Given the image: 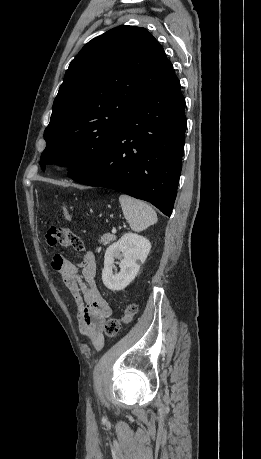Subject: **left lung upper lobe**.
Segmentation results:
<instances>
[{
	"label": "left lung upper lobe",
	"instance_id": "5c2ea615",
	"mask_svg": "<svg viewBox=\"0 0 261 459\" xmlns=\"http://www.w3.org/2000/svg\"><path fill=\"white\" fill-rule=\"evenodd\" d=\"M173 66L145 29L123 25L88 42L71 61L45 129L40 166L93 169Z\"/></svg>",
	"mask_w": 261,
	"mask_h": 459
}]
</instances>
